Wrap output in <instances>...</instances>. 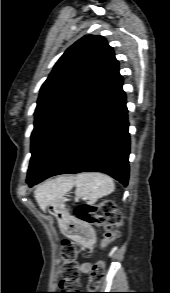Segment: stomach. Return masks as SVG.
Here are the masks:
<instances>
[{
  "mask_svg": "<svg viewBox=\"0 0 170 293\" xmlns=\"http://www.w3.org/2000/svg\"><path fill=\"white\" fill-rule=\"evenodd\" d=\"M47 207L51 209V212L58 218V221L61 225H66L67 221L70 219L67 209L65 208L63 197L59 194L58 196L50 199L47 204ZM64 232L74 238L75 240L82 242L83 244H88L90 239L94 237L92 228L85 226L84 231L90 234V238H85L77 233L75 229H63Z\"/></svg>",
  "mask_w": 170,
  "mask_h": 293,
  "instance_id": "0dacf381",
  "label": "stomach"
}]
</instances>
